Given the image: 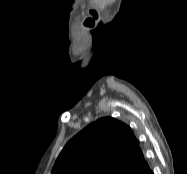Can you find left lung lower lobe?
Segmentation results:
<instances>
[{
	"instance_id": "left-lung-lower-lobe-1",
	"label": "left lung lower lobe",
	"mask_w": 187,
	"mask_h": 174,
	"mask_svg": "<svg viewBox=\"0 0 187 174\" xmlns=\"http://www.w3.org/2000/svg\"><path fill=\"white\" fill-rule=\"evenodd\" d=\"M134 174H153V172L151 171V169L148 167L140 170V169H137Z\"/></svg>"
}]
</instances>
